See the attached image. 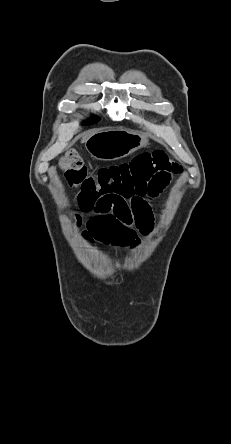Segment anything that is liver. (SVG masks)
Listing matches in <instances>:
<instances>
[{"label":"liver","instance_id":"6515ba94","mask_svg":"<svg viewBox=\"0 0 231 444\" xmlns=\"http://www.w3.org/2000/svg\"><path fill=\"white\" fill-rule=\"evenodd\" d=\"M95 133V131H91L89 132L85 137H83L82 142H86V140L91 137L93 134Z\"/></svg>","mask_w":231,"mask_h":444}]
</instances>
